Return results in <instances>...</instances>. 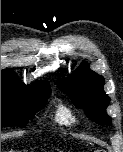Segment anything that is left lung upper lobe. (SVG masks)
Listing matches in <instances>:
<instances>
[{
    "instance_id": "5c2ea615",
    "label": "left lung upper lobe",
    "mask_w": 123,
    "mask_h": 152,
    "mask_svg": "<svg viewBox=\"0 0 123 152\" xmlns=\"http://www.w3.org/2000/svg\"><path fill=\"white\" fill-rule=\"evenodd\" d=\"M59 86L66 92L76 107L85 110L87 117L100 125H110L106 113L110 98L103 90L104 78L86 66L78 68L73 77L61 81Z\"/></svg>"
}]
</instances>
